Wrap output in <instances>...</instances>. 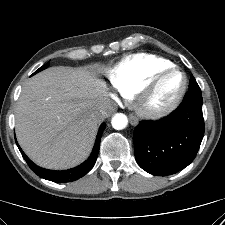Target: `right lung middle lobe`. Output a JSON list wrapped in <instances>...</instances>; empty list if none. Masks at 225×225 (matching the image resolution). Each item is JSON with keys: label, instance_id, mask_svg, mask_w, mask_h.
<instances>
[{"label": "right lung middle lobe", "instance_id": "dd1d6c3e", "mask_svg": "<svg viewBox=\"0 0 225 225\" xmlns=\"http://www.w3.org/2000/svg\"><path fill=\"white\" fill-rule=\"evenodd\" d=\"M48 65H49V63H47V64H45L44 66L40 67L35 73L40 72V71L46 69V68L48 67ZM35 73H33V75H34Z\"/></svg>", "mask_w": 225, "mask_h": 225}]
</instances>
